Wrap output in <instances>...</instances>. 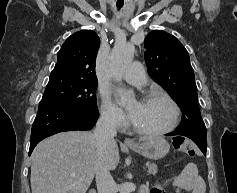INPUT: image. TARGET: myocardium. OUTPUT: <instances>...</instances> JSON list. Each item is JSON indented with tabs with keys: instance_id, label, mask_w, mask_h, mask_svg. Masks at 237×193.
<instances>
[{
	"instance_id": "f54148a6",
	"label": "myocardium",
	"mask_w": 237,
	"mask_h": 193,
	"mask_svg": "<svg viewBox=\"0 0 237 193\" xmlns=\"http://www.w3.org/2000/svg\"><path fill=\"white\" fill-rule=\"evenodd\" d=\"M153 99H163L166 102H168L169 105L172 107L173 118H172L170 125L164 129L153 131V130L142 129V128L136 126L132 122V120L130 121V124H131L132 129L138 134H141L144 136H150V137L163 136V135H166V134L172 132L178 126L179 121H180L181 111H180L178 104L168 94L163 93V92L147 93L143 96L142 101H149V100H153Z\"/></svg>"
}]
</instances>
